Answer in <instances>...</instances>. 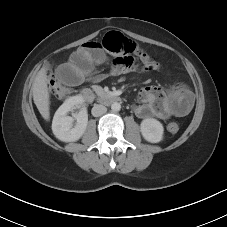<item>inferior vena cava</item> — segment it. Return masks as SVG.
<instances>
[{
    "label": "inferior vena cava",
    "mask_w": 227,
    "mask_h": 227,
    "mask_svg": "<svg viewBox=\"0 0 227 227\" xmlns=\"http://www.w3.org/2000/svg\"><path fill=\"white\" fill-rule=\"evenodd\" d=\"M106 111H107V108L105 106L96 104L92 108L91 113L94 117H99V116L105 114Z\"/></svg>",
    "instance_id": "inferior-vena-cava-1"
}]
</instances>
